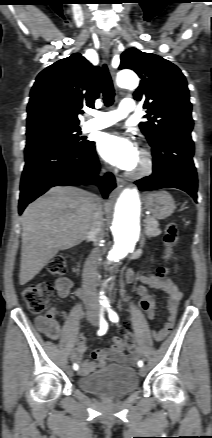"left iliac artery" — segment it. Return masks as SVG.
Returning <instances> with one entry per match:
<instances>
[{
  "instance_id": "obj_1",
  "label": "left iliac artery",
  "mask_w": 212,
  "mask_h": 438,
  "mask_svg": "<svg viewBox=\"0 0 212 438\" xmlns=\"http://www.w3.org/2000/svg\"><path fill=\"white\" fill-rule=\"evenodd\" d=\"M107 310H108V313H109V319L112 321V322H118V320H119V318H118V315L116 314V312H114L112 309H110V308H107ZM138 366L139 367H142L143 366V361H138Z\"/></svg>"
}]
</instances>
